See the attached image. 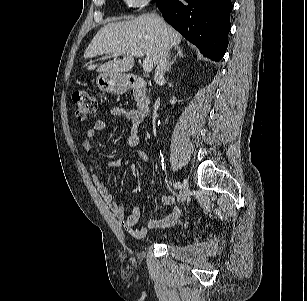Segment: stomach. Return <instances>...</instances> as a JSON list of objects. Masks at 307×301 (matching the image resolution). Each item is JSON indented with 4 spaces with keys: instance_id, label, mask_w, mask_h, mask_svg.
Listing matches in <instances>:
<instances>
[{
    "instance_id": "stomach-1",
    "label": "stomach",
    "mask_w": 307,
    "mask_h": 301,
    "mask_svg": "<svg viewBox=\"0 0 307 301\" xmlns=\"http://www.w3.org/2000/svg\"><path fill=\"white\" fill-rule=\"evenodd\" d=\"M96 84L104 92L122 94L128 89V77L124 74L104 72L98 75Z\"/></svg>"
}]
</instances>
